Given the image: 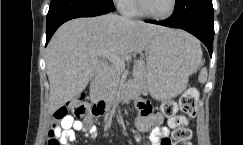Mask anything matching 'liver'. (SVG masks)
<instances>
[{
  "label": "liver",
  "instance_id": "6515ba94",
  "mask_svg": "<svg viewBox=\"0 0 243 145\" xmlns=\"http://www.w3.org/2000/svg\"><path fill=\"white\" fill-rule=\"evenodd\" d=\"M166 32L189 36L183 31L114 14L77 18L64 23L46 50L50 111H56L85 89L99 65L98 51L105 50L118 56L140 53L155 36Z\"/></svg>",
  "mask_w": 243,
  "mask_h": 145
}]
</instances>
